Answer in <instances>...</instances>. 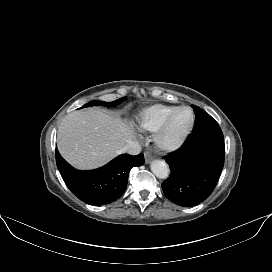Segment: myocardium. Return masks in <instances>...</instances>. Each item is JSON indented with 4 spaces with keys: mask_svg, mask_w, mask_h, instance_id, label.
<instances>
[{
    "mask_svg": "<svg viewBox=\"0 0 272 272\" xmlns=\"http://www.w3.org/2000/svg\"><path fill=\"white\" fill-rule=\"evenodd\" d=\"M181 110H188L190 112V121L187 127L183 130L181 134L177 137L170 139L168 137V131L170 123L173 117ZM195 123V115L193 110L188 106H178L176 107L162 122L161 126L155 132L154 143L156 147L161 151H173L179 148L189 137Z\"/></svg>",
    "mask_w": 272,
    "mask_h": 272,
    "instance_id": "f54148a6",
    "label": "myocardium"
}]
</instances>
